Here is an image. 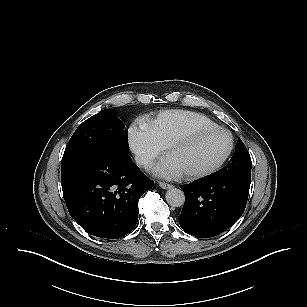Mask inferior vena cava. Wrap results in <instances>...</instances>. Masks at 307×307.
Segmentation results:
<instances>
[{
    "mask_svg": "<svg viewBox=\"0 0 307 307\" xmlns=\"http://www.w3.org/2000/svg\"><path fill=\"white\" fill-rule=\"evenodd\" d=\"M137 164L143 166L144 168H151L152 162L150 159L142 157V156H137L135 158Z\"/></svg>",
    "mask_w": 307,
    "mask_h": 307,
    "instance_id": "1",
    "label": "inferior vena cava"
}]
</instances>
